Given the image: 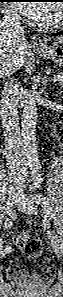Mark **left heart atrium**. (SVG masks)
I'll use <instances>...</instances> for the list:
<instances>
[{"label":"left heart atrium","mask_w":63,"mask_h":297,"mask_svg":"<svg viewBox=\"0 0 63 297\" xmlns=\"http://www.w3.org/2000/svg\"><path fill=\"white\" fill-rule=\"evenodd\" d=\"M16 8L20 13L28 17L33 22L37 23L43 20L45 11L41 5L18 3L16 4Z\"/></svg>","instance_id":"left-heart-atrium-1"}]
</instances>
